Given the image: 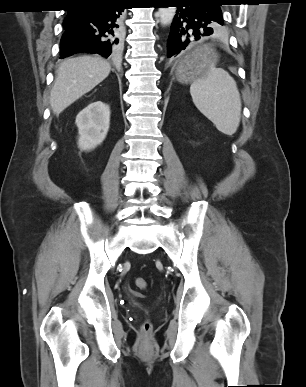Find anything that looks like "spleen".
Masks as SVG:
<instances>
[{
    "instance_id": "obj_1",
    "label": "spleen",
    "mask_w": 306,
    "mask_h": 387,
    "mask_svg": "<svg viewBox=\"0 0 306 387\" xmlns=\"http://www.w3.org/2000/svg\"><path fill=\"white\" fill-rule=\"evenodd\" d=\"M197 109L226 134L236 132L241 118V97L235 80L223 69L208 68L190 86Z\"/></svg>"
}]
</instances>
